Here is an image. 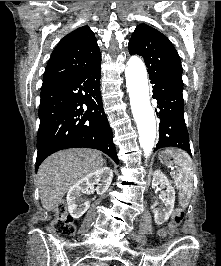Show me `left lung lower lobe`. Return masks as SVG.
<instances>
[{
  "instance_id": "left-lung-lower-lobe-1",
  "label": "left lung lower lobe",
  "mask_w": 221,
  "mask_h": 266,
  "mask_svg": "<svg viewBox=\"0 0 221 266\" xmlns=\"http://www.w3.org/2000/svg\"><path fill=\"white\" fill-rule=\"evenodd\" d=\"M153 98L160 109L157 116L159 123V142L156 151L163 147H178L191 155L189 136L184 120L183 85L176 82L151 77Z\"/></svg>"
}]
</instances>
